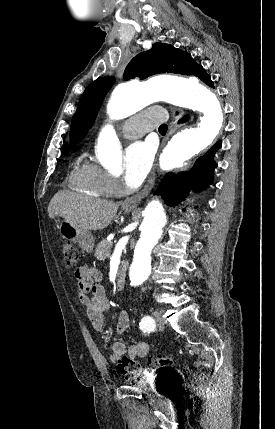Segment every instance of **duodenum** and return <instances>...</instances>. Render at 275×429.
<instances>
[{
  "instance_id": "obj_1",
  "label": "duodenum",
  "mask_w": 275,
  "mask_h": 429,
  "mask_svg": "<svg viewBox=\"0 0 275 429\" xmlns=\"http://www.w3.org/2000/svg\"><path fill=\"white\" fill-rule=\"evenodd\" d=\"M125 282H126V270L125 267H121V269L119 270L118 274H117V278H116V288L117 290H122L125 287Z\"/></svg>"
}]
</instances>
